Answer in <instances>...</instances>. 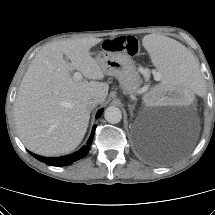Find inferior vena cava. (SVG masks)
<instances>
[{
	"label": "inferior vena cava",
	"mask_w": 215,
	"mask_h": 215,
	"mask_svg": "<svg viewBox=\"0 0 215 215\" xmlns=\"http://www.w3.org/2000/svg\"><path fill=\"white\" fill-rule=\"evenodd\" d=\"M100 103V99L92 98L87 102V107L92 110Z\"/></svg>",
	"instance_id": "602c4592"
}]
</instances>
